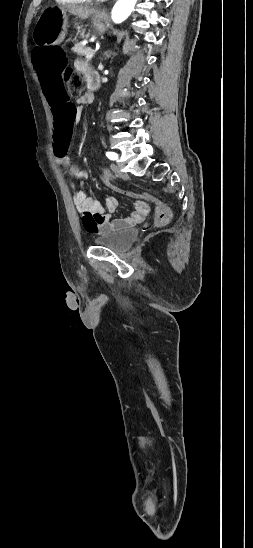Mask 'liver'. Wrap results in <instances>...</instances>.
I'll list each match as a JSON object with an SVG mask.
<instances>
[{"instance_id":"obj_1","label":"liver","mask_w":253,"mask_h":548,"mask_svg":"<svg viewBox=\"0 0 253 548\" xmlns=\"http://www.w3.org/2000/svg\"><path fill=\"white\" fill-rule=\"evenodd\" d=\"M62 10H64V9H62ZM64 11H69L71 14H73V15H75L78 18L83 19V20L89 18L92 14L95 13L94 8H90V7H87V6H71V7H69L68 9H66Z\"/></svg>"}]
</instances>
